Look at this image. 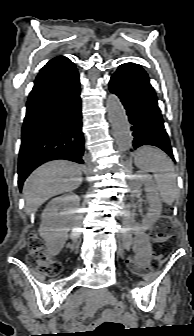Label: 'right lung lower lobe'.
<instances>
[{"label":"right lung lower lobe","instance_id":"right-lung-lower-lobe-1","mask_svg":"<svg viewBox=\"0 0 194 336\" xmlns=\"http://www.w3.org/2000/svg\"><path fill=\"white\" fill-rule=\"evenodd\" d=\"M83 155L79 74L70 61L39 73L35 79L22 127L20 190L42 163L52 159L83 163Z\"/></svg>","mask_w":194,"mask_h":336}]
</instances>
